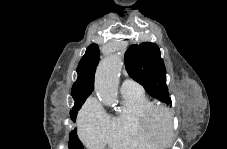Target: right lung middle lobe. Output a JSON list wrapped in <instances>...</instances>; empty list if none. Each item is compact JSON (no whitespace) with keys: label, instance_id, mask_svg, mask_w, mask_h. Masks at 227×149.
Masks as SVG:
<instances>
[{"label":"right lung middle lobe","instance_id":"obj_1","mask_svg":"<svg viewBox=\"0 0 227 149\" xmlns=\"http://www.w3.org/2000/svg\"><path fill=\"white\" fill-rule=\"evenodd\" d=\"M81 105L78 108L71 110L70 112V116L73 122H75L77 111L81 108ZM69 149H83L82 143L79 141L78 136L76 135V130L71 131L69 135Z\"/></svg>","mask_w":227,"mask_h":149}]
</instances>
